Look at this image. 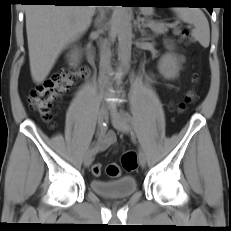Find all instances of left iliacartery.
I'll use <instances>...</instances> for the list:
<instances>
[{"label":"left iliac artery","mask_w":231,"mask_h":231,"mask_svg":"<svg viewBox=\"0 0 231 231\" xmlns=\"http://www.w3.org/2000/svg\"><path fill=\"white\" fill-rule=\"evenodd\" d=\"M123 115H124V117L126 118V120H127L129 123L133 124V121H132V118L130 117V115H128L127 113H124Z\"/></svg>","instance_id":"1"}]
</instances>
